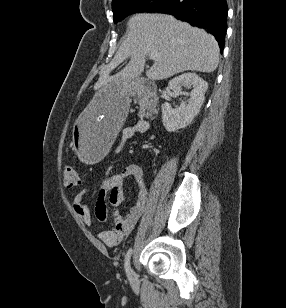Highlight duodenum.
Wrapping results in <instances>:
<instances>
[{
	"mask_svg": "<svg viewBox=\"0 0 286 308\" xmlns=\"http://www.w3.org/2000/svg\"><path fill=\"white\" fill-rule=\"evenodd\" d=\"M132 87L135 91H141L147 95L149 116L153 119L157 115L160 106L157 85L147 78H137L134 80Z\"/></svg>",
	"mask_w": 286,
	"mask_h": 308,
	"instance_id": "1",
	"label": "duodenum"
}]
</instances>
